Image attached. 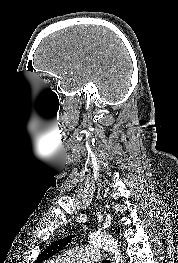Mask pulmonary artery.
<instances>
[{"label": "pulmonary artery", "instance_id": "obj_1", "mask_svg": "<svg viewBox=\"0 0 178 263\" xmlns=\"http://www.w3.org/2000/svg\"><path fill=\"white\" fill-rule=\"evenodd\" d=\"M100 256L98 248L83 246L61 254L56 260L59 263H96Z\"/></svg>", "mask_w": 178, "mask_h": 263}]
</instances>
